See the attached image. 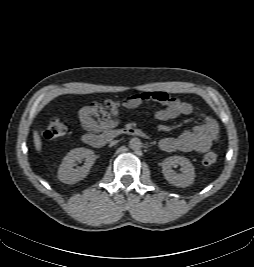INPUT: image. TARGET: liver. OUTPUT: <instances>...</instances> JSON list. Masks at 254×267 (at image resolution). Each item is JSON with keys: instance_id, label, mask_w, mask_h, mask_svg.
I'll return each mask as SVG.
<instances>
[{"instance_id": "1", "label": "liver", "mask_w": 254, "mask_h": 267, "mask_svg": "<svg viewBox=\"0 0 254 267\" xmlns=\"http://www.w3.org/2000/svg\"><path fill=\"white\" fill-rule=\"evenodd\" d=\"M33 141H34L35 149L39 153L41 151V148H42V142H41V138H40L37 131H34V133H33Z\"/></svg>"}]
</instances>
